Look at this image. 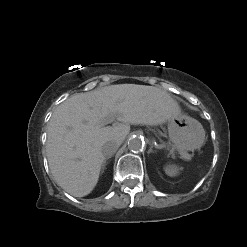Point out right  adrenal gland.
<instances>
[{
	"mask_svg": "<svg viewBox=\"0 0 247 247\" xmlns=\"http://www.w3.org/2000/svg\"><path fill=\"white\" fill-rule=\"evenodd\" d=\"M111 157H106L105 160H104V163L102 165V171H104L106 165L108 164L107 160H109Z\"/></svg>",
	"mask_w": 247,
	"mask_h": 247,
	"instance_id": "2a0ac1e0",
	"label": "right adrenal gland"
}]
</instances>
